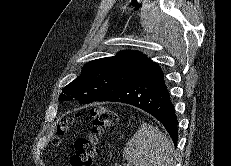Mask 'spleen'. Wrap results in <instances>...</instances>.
Wrapping results in <instances>:
<instances>
[{
  "label": "spleen",
  "instance_id": "spleen-1",
  "mask_svg": "<svg viewBox=\"0 0 231 166\" xmlns=\"http://www.w3.org/2000/svg\"><path fill=\"white\" fill-rule=\"evenodd\" d=\"M128 166H175L172 141L158 127L143 122L124 148Z\"/></svg>",
  "mask_w": 231,
  "mask_h": 166
}]
</instances>
